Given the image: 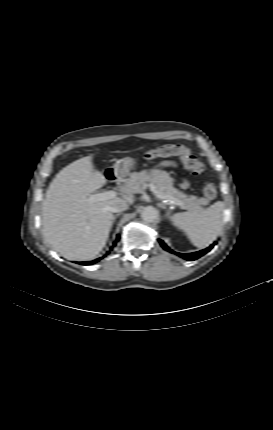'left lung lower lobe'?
I'll list each match as a JSON object with an SVG mask.
<instances>
[{"mask_svg":"<svg viewBox=\"0 0 273 430\" xmlns=\"http://www.w3.org/2000/svg\"><path fill=\"white\" fill-rule=\"evenodd\" d=\"M159 243L164 250H166L170 253L176 254V255L180 256L181 258H184V259L189 260V261H193V260L198 259L199 257H201L204 254H206L207 252H209L214 246V245H211L204 250H200V251L193 252L190 254H182V253L174 252L173 250H171L162 240H159Z\"/></svg>","mask_w":273,"mask_h":430,"instance_id":"1","label":"left lung lower lobe"}]
</instances>
